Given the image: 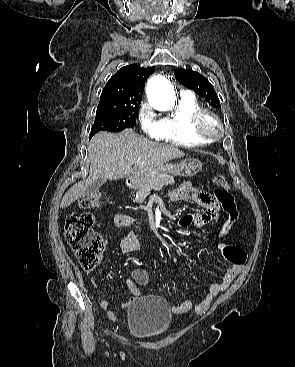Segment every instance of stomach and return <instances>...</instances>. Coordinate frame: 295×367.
<instances>
[{
  "label": "stomach",
  "instance_id": "1",
  "mask_svg": "<svg viewBox=\"0 0 295 367\" xmlns=\"http://www.w3.org/2000/svg\"><path fill=\"white\" fill-rule=\"evenodd\" d=\"M201 169L202 163L200 161L196 159H187L178 164H163L137 177H132L130 182L133 187L140 188L162 175L168 174L179 177H191L200 172Z\"/></svg>",
  "mask_w": 295,
  "mask_h": 367
}]
</instances>
